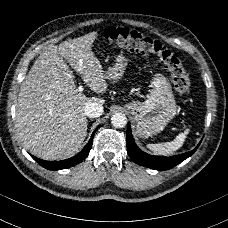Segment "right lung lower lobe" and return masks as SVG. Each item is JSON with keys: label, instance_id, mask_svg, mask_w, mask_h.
Returning <instances> with one entry per match:
<instances>
[{"label": "right lung lower lobe", "instance_id": "obj_1", "mask_svg": "<svg viewBox=\"0 0 228 228\" xmlns=\"http://www.w3.org/2000/svg\"><path fill=\"white\" fill-rule=\"evenodd\" d=\"M96 130L92 133V136H91L89 142L82 149V151L80 153H78L77 155L69 158V159L62 160V161H44V160L38 159V158H36V157H34L32 155L31 156L42 167H44V168H46L48 170H60V169L69 168L71 166H74V165L78 164L79 162H81L82 160H84L88 156L89 151H90V149L92 147L93 137H94V134H95Z\"/></svg>", "mask_w": 228, "mask_h": 228}]
</instances>
